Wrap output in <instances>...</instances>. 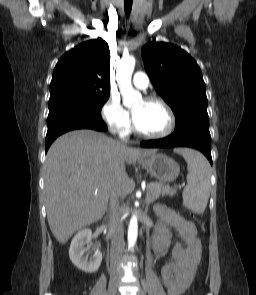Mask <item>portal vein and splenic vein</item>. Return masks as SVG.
<instances>
[{
    "label": "portal vein and splenic vein",
    "instance_id": "obj_1",
    "mask_svg": "<svg viewBox=\"0 0 256 295\" xmlns=\"http://www.w3.org/2000/svg\"><path fill=\"white\" fill-rule=\"evenodd\" d=\"M150 201H151L150 199H147V202H148V203H150Z\"/></svg>",
    "mask_w": 256,
    "mask_h": 295
}]
</instances>
